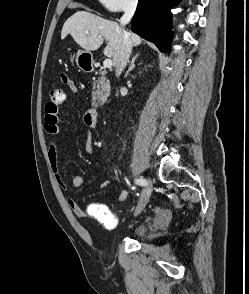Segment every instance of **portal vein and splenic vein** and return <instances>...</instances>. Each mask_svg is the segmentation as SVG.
Instances as JSON below:
<instances>
[{
  "mask_svg": "<svg viewBox=\"0 0 249 294\" xmlns=\"http://www.w3.org/2000/svg\"><path fill=\"white\" fill-rule=\"evenodd\" d=\"M88 33V32H87ZM112 60L111 59H105L104 60V62H103V65H104V67H106V68H110V67H112Z\"/></svg>",
  "mask_w": 249,
  "mask_h": 294,
  "instance_id": "portal-vein-and-splenic-vein-1",
  "label": "portal vein and splenic vein"
}]
</instances>
